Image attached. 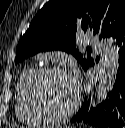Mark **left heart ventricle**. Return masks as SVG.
Instances as JSON below:
<instances>
[{"mask_svg": "<svg viewBox=\"0 0 125 128\" xmlns=\"http://www.w3.org/2000/svg\"><path fill=\"white\" fill-rule=\"evenodd\" d=\"M77 90L67 75H51L37 86L36 94L43 107L58 113L68 109L74 102Z\"/></svg>", "mask_w": 125, "mask_h": 128, "instance_id": "left-heart-ventricle-1", "label": "left heart ventricle"}]
</instances>
